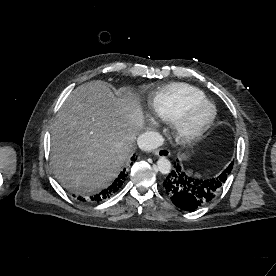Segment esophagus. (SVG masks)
Listing matches in <instances>:
<instances>
[{
  "mask_svg": "<svg viewBox=\"0 0 276 276\" xmlns=\"http://www.w3.org/2000/svg\"><path fill=\"white\" fill-rule=\"evenodd\" d=\"M155 155L159 157H169L170 151L166 148H160L154 151Z\"/></svg>",
  "mask_w": 276,
  "mask_h": 276,
  "instance_id": "34e87169",
  "label": "esophagus"
}]
</instances>
